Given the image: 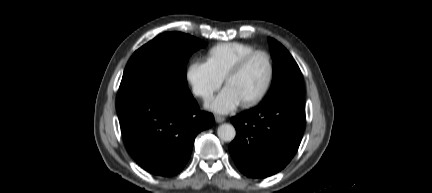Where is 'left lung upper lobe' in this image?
I'll use <instances>...</instances> for the list:
<instances>
[{
    "mask_svg": "<svg viewBox=\"0 0 432 193\" xmlns=\"http://www.w3.org/2000/svg\"><path fill=\"white\" fill-rule=\"evenodd\" d=\"M274 61L271 88L262 104L270 102L294 103L304 106L301 71L290 53L276 40L268 38Z\"/></svg>",
    "mask_w": 432,
    "mask_h": 193,
    "instance_id": "5c2ea615",
    "label": "left lung upper lobe"
}]
</instances>
